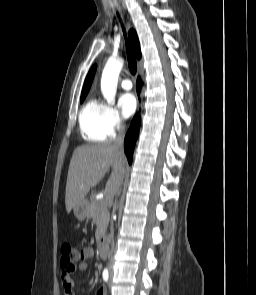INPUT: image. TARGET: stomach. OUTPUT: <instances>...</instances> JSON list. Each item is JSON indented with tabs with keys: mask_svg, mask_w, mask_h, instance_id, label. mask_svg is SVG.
Wrapping results in <instances>:
<instances>
[{
	"mask_svg": "<svg viewBox=\"0 0 256 295\" xmlns=\"http://www.w3.org/2000/svg\"><path fill=\"white\" fill-rule=\"evenodd\" d=\"M74 216L79 220L83 221L88 216V203L83 202L80 205L73 208Z\"/></svg>",
	"mask_w": 256,
	"mask_h": 295,
	"instance_id": "1",
	"label": "stomach"
}]
</instances>
